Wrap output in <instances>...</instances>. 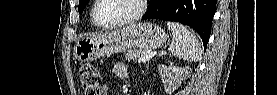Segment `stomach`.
I'll use <instances>...</instances> for the list:
<instances>
[{
  "mask_svg": "<svg viewBox=\"0 0 277 95\" xmlns=\"http://www.w3.org/2000/svg\"><path fill=\"white\" fill-rule=\"evenodd\" d=\"M166 40L167 34L156 24H132L79 40L74 47V56L80 62H91L133 48L156 49L161 47Z\"/></svg>",
  "mask_w": 277,
  "mask_h": 95,
  "instance_id": "obj_1",
  "label": "stomach"
}]
</instances>
